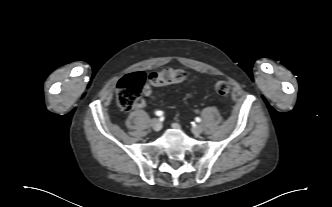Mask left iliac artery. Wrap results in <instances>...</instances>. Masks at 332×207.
Masks as SVG:
<instances>
[{
  "label": "left iliac artery",
  "instance_id": "1",
  "mask_svg": "<svg viewBox=\"0 0 332 207\" xmlns=\"http://www.w3.org/2000/svg\"><path fill=\"white\" fill-rule=\"evenodd\" d=\"M195 120H196V122H200L201 121V119L199 117H196Z\"/></svg>",
  "mask_w": 332,
  "mask_h": 207
}]
</instances>
